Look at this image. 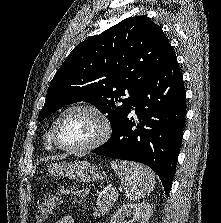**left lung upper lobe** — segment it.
<instances>
[{
	"label": "left lung upper lobe",
	"instance_id": "5c2ea615",
	"mask_svg": "<svg viewBox=\"0 0 221 223\" xmlns=\"http://www.w3.org/2000/svg\"><path fill=\"white\" fill-rule=\"evenodd\" d=\"M169 47L162 29L145 15L79 43L52 79L38 120L85 101L107 114L113 134L136 94L162 67Z\"/></svg>",
	"mask_w": 221,
	"mask_h": 223
}]
</instances>
